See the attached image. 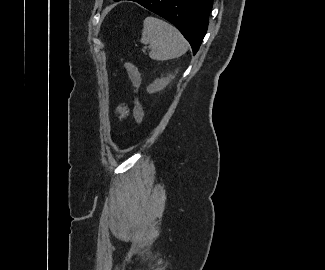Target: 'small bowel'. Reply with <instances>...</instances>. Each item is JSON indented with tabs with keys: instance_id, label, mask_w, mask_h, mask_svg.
Wrapping results in <instances>:
<instances>
[{
	"instance_id": "obj_1",
	"label": "small bowel",
	"mask_w": 325,
	"mask_h": 270,
	"mask_svg": "<svg viewBox=\"0 0 325 270\" xmlns=\"http://www.w3.org/2000/svg\"><path fill=\"white\" fill-rule=\"evenodd\" d=\"M118 111L121 115H125L128 112V109L125 105H122L119 107Z\"/></svg>"
}]
</instances>
